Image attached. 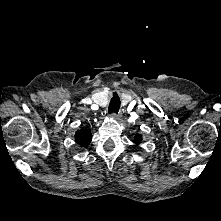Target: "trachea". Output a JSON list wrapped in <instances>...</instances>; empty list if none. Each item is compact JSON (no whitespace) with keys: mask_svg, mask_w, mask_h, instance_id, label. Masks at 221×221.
I'll return each mask as SVG.
<instances>
[{"mask_svg":"<svg viewBox=\"0 0 221 221\" xmlns=\"http://www.w3.org/2000/svg\"><path fill=\"white\" fill-rule=\"evenodd\" d=\"M120 109V99L116 92L113 93V97L110 101L109 107H108V113H118Z\"/></svg>","mask_w":221,"mask_h":221,"instance_id":"3493384b","label":"trachea"}]
</instances>
